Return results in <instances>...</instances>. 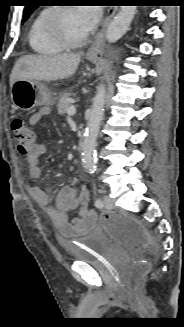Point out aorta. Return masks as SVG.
Here are the masks:
<instances>
[{
    "label": "aorta",
    "instance_id": "aorta-1",
    "mask_svg": "<svg viewBox=\"0 0 184 327\" xmlns=\"http://www.w3.org/2000/svg\"><path fill=\"white\" fill-rule=\"evenodd\" d=\"M136 11V6H121L120 11L107 28L106 39L108 42L118 41L127 32ZM105 95V87L100 85L93 98L92 110L82 147L84 168L90 172L94 171L96 167L95 147L100 123L104 116Z\"/></svg>",
    "mask_w": 184,
    "mask_h": 327
}]
</instances>
